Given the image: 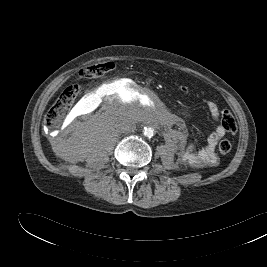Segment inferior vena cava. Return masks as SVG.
<instances>
[{
  "instance_id": "602c4592",
  "label": "inferior vena cava",
  "mask_w": 267,
  "mask_h": 267,
  "mask_svg": "<svg viewBox=\"0 0 267 267\" xmlns=\"http://www.w3.org/2000/svg\"><path fill=\"white\" fill-rule=\"evenodd\" d=\"M117 130L119 132H123V133H131V132H133L135 130V126L130 121L125 120V121H121L117 125Z\"/></svg>"
}]
</instances>
